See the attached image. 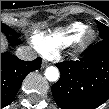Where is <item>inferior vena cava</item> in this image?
I'll list each match as a JSON object with an SVG mask.
<instances>
[{
  "label": "inferior vena cava",
  "instance_id": "obj_1",
  "mask_svg": "<svg viewBox=\"0 0 109 109\" xmlns=\"http://www.w3.org/2000/svg\"><path fill=\"white\" fill-rule=\"evenodd\" d=\"M16 56L24 61H32L37 58L36 52L28 46L19 47L16 50Z\"/></svg>",
  "mask_w": 109,
  "mask_h": 109
}]
</instances>
